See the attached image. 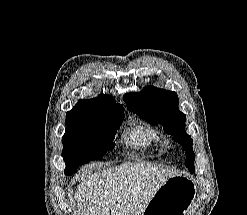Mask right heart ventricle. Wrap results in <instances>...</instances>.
<instances>
[{
  "instance_id": "e07e8e85",
  "label": "right heart ventricle",
  "mask_w": 247,
  "mask_h": 215,
  "mask_svg": "<svg viewBox=\"0 0 247 215\" xmlns=\"http://www.w3.org/2000/svg\"><path fill=\"white\" fill-rule=\"evenodd\" d=\"M126 140L136 149H149L161 141V136L155 127L137 124L126 134Z\"/></svg>"
}]
</instances>
